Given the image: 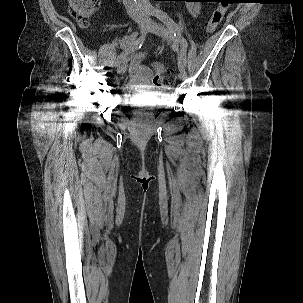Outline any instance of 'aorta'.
<instances>
[{
	"label": "aorta",
	"instance_id": "1",
	"mask_svg": "<svg viewBox=\"0 0 303 303\" xmlns=\"http://www.w3.org/2000/svg\"><path fill=\"white\" fill-rule=\"evenodd\" d=\"M138 4L142 7H147L150 5V1L149 0H137Z\"/></svg>",
	"mask_w": 303,
	"mask_h": 303
}]
</instances>
